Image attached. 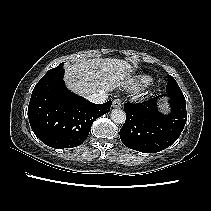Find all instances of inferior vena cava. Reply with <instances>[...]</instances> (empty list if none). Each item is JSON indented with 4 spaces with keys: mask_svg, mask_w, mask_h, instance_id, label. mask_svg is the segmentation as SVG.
I'll return each mask as SVG.
<instances>
[{
    "mask_svg": "<svg viewBox=\"0 0 211 211\" xmlns=\"http://www.w3.org/2000/svg\"><path fill=\"white\" fill-rule=\"evenodd\" d=\"M108 98V94L105 93V91H101L99 93H93L88 95L87 99L95 104H102L106 101Z\"/></svg>",
    "mask_w": 211,
    "mask_h": 211,
    "instance_id": "602c4592",
    "label": "inferior vena cava"
}]
</instances>
